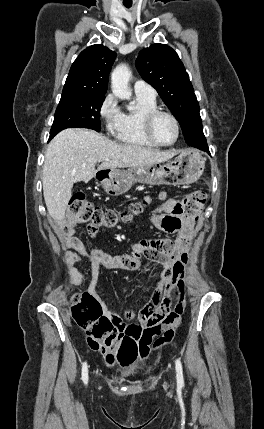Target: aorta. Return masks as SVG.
Listing matches in <instances>:
<instances>
[{
  "label": "aorta",
  "instance_id": "obj_1",
  "mask_svg": "<svg viewBox=\"0 0 264 429\" xmlns=\"http://www.w3.org/2000/svg\"><path fill=\"white\" fill-rule=\"evenodd\" d=\"M131 77V71L127 65L121 64L117 66L111 74V88L115 96L120 99H129L131 91L128 84ZM132 107H129L131 109Z\"/></svg>",
  "mask_w": 264,
  "mask_h": 429
}]
</instances>
